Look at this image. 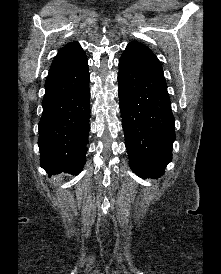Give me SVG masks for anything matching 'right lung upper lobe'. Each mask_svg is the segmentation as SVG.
I'll list each match as a JSON object with an SVG mask.
<instances>
[{
    "mask_svg": "<svg viewBox=\"0 0 221 274\" xmlns=\"http://www.w3.org/2000/svg\"><path fill=\"white\" fill-rule=\"evenodd\" d=\"M86 58L85 52L79 43L70 42L59 50L51 64L49 74L77 64Z\"/></svg>",
    "mask_w": 221,
    "mask_h": 274,
    "instance_id": "cb5924a9",
    "label": "right lung upper lobe"
}]
</instances>
